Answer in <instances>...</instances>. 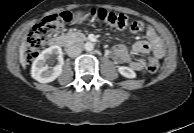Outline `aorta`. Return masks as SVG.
<instances>
[{"label":"aorta","instance_id":"1","mask_svg":"<svg viewBox=\"0 0 194 133\" xmlns=\"http://www.w3.org/2000/svg\"><path fill=\"white\" fill-rule=\"evenodd\" d=\"M84 48L86 51H92L94 49V44L91 42H87L85 43Z\"/></svg>","mask_w":194,"mask_h":133}]
</instances>
